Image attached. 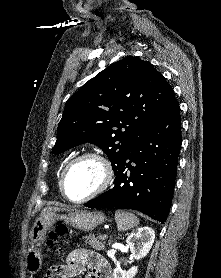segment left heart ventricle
I'll use <instances>...</instances> for the list:
<instances>
[{"instance_id":"b2bd125f","label":"left heart ventricle","mask_w":221,"mask_h":278,"mask_svg":"<svg viewBox=\"0 0 221 278\" xmlns=\"http://www.w3.org/2000/svg\"><path fill=\"white\" fill-rule=\"evenodd\" d=\"M102 178L100 165L92 159L75 163L66 179V193L71 199H81L91 193Z\"/></svg>"}]
</instances>
